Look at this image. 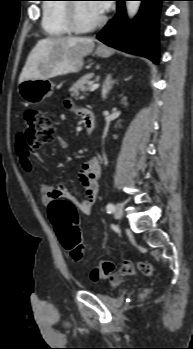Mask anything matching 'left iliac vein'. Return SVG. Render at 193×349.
Returning <instances> with one entry per match:
<instances>
[{"instance_id": "4c4485c4", "label": "left iliac vein", "mask_w": 193, "mask_h": 349, "mask_svg": "<svg viewBox=\"0 0 193 349\" xmlns=\"http://www.w3.org/2000/svg\"><path fill=\"white\" fill-rule=\"evenodd\" d=\"M114 215L116 218H121L123 215V205L121 203H117L115 206V210H114Z\"/></svg>"}]
</instances>
